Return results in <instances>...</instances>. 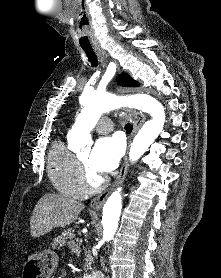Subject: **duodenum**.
Returning a JSON list of instances; mask_svg holds the SVG:
<instances>
[{"instance_id": "duodenum-1", "label": "duodenum", "mask_w": 221, "mask_h": 278, "mask_svg": "<svg viewBox=\"0 0 221 278\" xmlns=\"http://www.w3.org/2000/svg\"><path fill=\"white\" fill-rule=\"evenodd\" d=\"M93 278H100L98 275H93Z\"/></svg>"}]
</instances>
